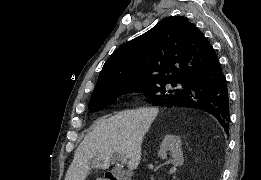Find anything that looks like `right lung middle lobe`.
Returning <instances> with one entry per match:
<instances>
[{"mask_svg": "<svg viewBox=\"0 0 261 180\" xmlns=\"http://www.w3.org/2000/svg\"><path fill=\"white\" fill-rule=\"evenodd\" d=\"M177 83H181L182 86H184L183 81L163 80L119 90L107 95L91 99L88 108L91 112L99 111L105 108V106L113 103L115 99L120 97L122 94L133 91L146 93L148 94L154 105H161L166 100L172 99L182 92L180 90H173L167 87V84H171L172 87H175Z\"/></svg>", "mask_w": 261, "mask_h": 180, "instance_id": "obj_1", "label": "right lung middle lobe"}]
</instances>
